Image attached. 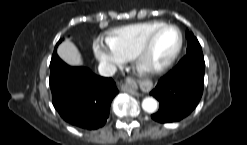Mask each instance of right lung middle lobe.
Here are the masks:
<instances>
[{
	"label": "right lung middle lobe",
	"instance_id": "right-lung-middle-lobe-1",
	"mask_svg": "<svg viewBox=\"0 0 247 145\" xmlns=\"http://www.w3.org/2000/svg\"><path fill=\"white\" fill-rule=\"evenodd\" d=\"M61 41H62V40H59L58 43H57V45H58ZM57 45H56V47H57ZM55 49H56V48H55Z\"/></svg>",
	"mask_w": 247,
	"mask_h": 145
}]
</instances>
